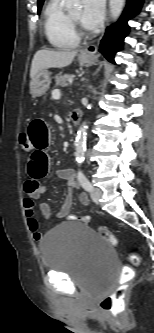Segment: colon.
Returning a JSON list of instances; mask_svg holds the SVG:
<instances>
[{
    "mask_svg": "<svg viewBox=\"0 0 154 333\" xmlns=\"http://www.w3.org/2000/svg\"><path fill=\"white\" fill-rule=\"evenodd\" d=\"M19 144L23 153H29L31 149V144L26 133H22L19 137ZM70 220H79L81 222L88 223V216H74L68 217ZM100 234L112 245L116 244V238L113 233L107 227L99 228ZM131 261L134 265L140 264V258L137 255H133ZM134 271L131 267L125 266L121 272V284L120 286L111 294L103 297L100 301V308L107 313L113 315H119L124 308V295L127 283L133 278Z\"/></svg>",
    "mask_w": 154,
    "mask_h": 333,
    "instance_id": "colon-1",
    "label": "colon"
}]
</instances>
